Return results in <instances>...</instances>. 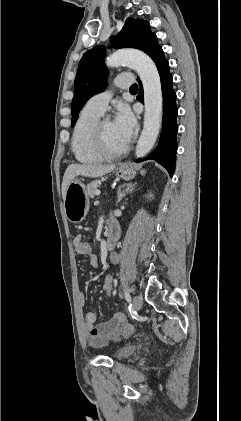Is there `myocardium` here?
Here are the masks:
<instances>
[{"mask_svg": "<svg viewBox=\"0 0 241 421\" xmlns=\"http://www.w3.org/2000/svg\"><path fill=\"white\" fill-rule=\"evenodd\" d=\"M105 121L106 120H100L95 126L93 135L94 147L96 151L105 159L120 157L128 152L129 145L126 144L122 149L117 151L110 150L107 147L104 139L103 124Z\"/></svg>", "mask_w": 241, "mask_h": 421, "instance_id": "f54148a6", "label": "myocardium"}]
</instances>
